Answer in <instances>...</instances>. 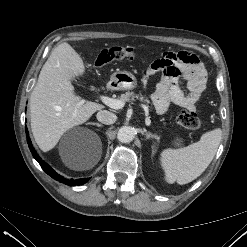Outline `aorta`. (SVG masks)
Wrapping results in <instances>:
<instances>
[{"label": "aorta", "mask_w": 247, "mask_h": 247, "mask_svg": "<svg viewBox=\"0 0 247 247\" xmlns=\"http://www.w3.org/2000/svg\"><path fill=\"white\" fill-rule=\"evenodd\" d=\"M136 135L135 128L131 126H123L118 130L117 139L121 143H129L131 142Z\"/></svg>", "instance_id": "aorta-1"}]
</instances>
